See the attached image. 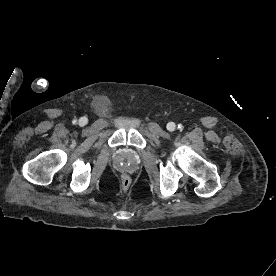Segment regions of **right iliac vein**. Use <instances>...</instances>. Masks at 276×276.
Wrapping results in <instances>:
<instances>
[{
	"instance_id": "63e3f726",
	"label": "right iliac vein",
	"mask_w": 276,
	"mask_h": 276,
	"mask_svg": "<svg viewBox=\"0 0 276 276\" xmlns=\"http://www.w3.org/2000/svg\"><path fill=\"white\" fill-rule=\"evenodd\" d=\"M87 124V119L85 117H82L79 119V125L84 126Z\"/></svg>"
}]
</instances>
